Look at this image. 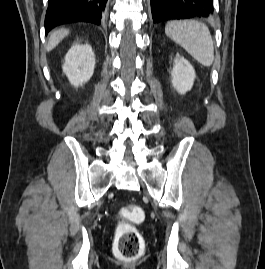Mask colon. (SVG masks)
Listing matches in <instances>:
<instances>
[{
	"label": "colon",
	"mask_w": 265,
	"mask_h": 269,
	"mask_svg": "<svg viewBox=\"0 0 265 269\" xmlns=\"http://www.w3.org/2000/svg\"><path fill=\"white\" fill-rule=\"evenodd\" d=\"M123 213L130 222H123L118 226L115 237V251L123 259L135 260L141 255L142 239L132 223L142 222L144 212L138 205H129L123 209Z\"/></svg>",
	"instance_id": "obj_1"
}]
</instances>
